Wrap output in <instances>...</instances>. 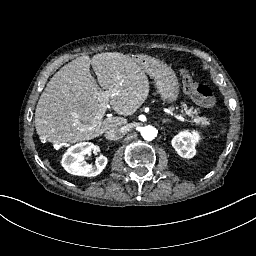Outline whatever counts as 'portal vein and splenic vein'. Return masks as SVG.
Wrapping results in <instances>:
<instances>
[{
	"instance_id": "obj_1",
	"label": "portal vein and splenic vein",
	"mask_w": 256,
	"mask_h": 256,
	"mask_svg": "<svg viewBox=\"0 0 256 256\" xmlns=\"http://www.w3.org/2000/svg\"><path fill=\"white\" fill-rule=\"evenodd\" d=\"M101 94L110 96V95H108V91H103ZM107 108L110 109L109 106H108ZM105 112H106V110L104 111V106H103V104H102V105H101V114H100L98 117H96V119H97V120H96V124H97V122L100 121V119H102V115H103ZM172 117L175 118V119H177V120H179V122L182 123V124H185V123H186V119H185V118H182L181 115L172 114ZM96 124H95V126H96Z\"/></svg>"
}]
</instances>
